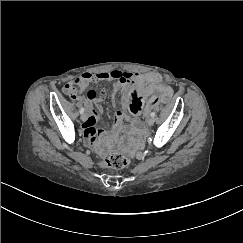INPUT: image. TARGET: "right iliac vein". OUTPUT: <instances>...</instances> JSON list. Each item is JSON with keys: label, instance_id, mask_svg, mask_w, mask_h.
Listing matches in <instances>:
<instances>
[{"label": "right iliac vein", "instance_id": "63e3f726", "mask_svg": "<svg viewBox=\"0 0 243 243\" xmlns=\"http://www.w3.org/2000/svg\"><path fill=\"white\" fill-rule=\"evenodd\" d=\"M81 120H82V121H85V120H86V114L83 113V114L81 115Z\"/></svg>", "mask_w": 243, "mask_h": 243}]
</instances>
